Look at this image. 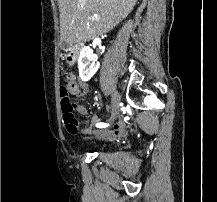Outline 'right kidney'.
Returning a JSON list of instances; mask_svg holds the SVG:
<instances>
[{"mask_svg":"<svg viewBox=\"0 0 217 202\" xmlns=\"http://www.w3.org/2000/svg\"><path fill=\"white\" fill-rule=\"evenodd\" d=\"M91 54L89 46H86L80 52L78 70L82 82H88V80L93 78L95 72H97L98 64L95 66L94 58H92Z\"/></svg>","mask_w":217,"mask_h":202,"instance_id":"right-kidney-1","label":"right kidney"}]
</instances>
